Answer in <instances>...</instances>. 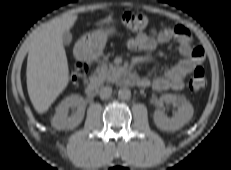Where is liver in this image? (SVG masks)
Wrapping results in <instances>:
<instances>
[{
  "label": "liver",
  "mask_w": 231,
  "mask_h": 170,
  "mask_svg": "<svg viewBox=\"0 0 231 170\" xmlns=\"http://www.w3.org/2000/svg\"><path fill=\"white\" fill-rule=\"evenodd\" d=\"M77 18L76 15L55 18L33 37L26 76L28 95L38 113L46 112L69 83L62 36L73 27Z\"/></svg>",
  "instance_id": "6515ba94"
}]
</instances>
